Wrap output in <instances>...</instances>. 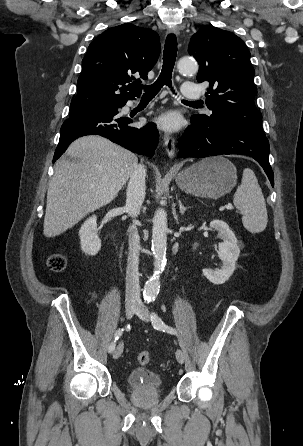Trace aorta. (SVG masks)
<instances>
[{
    "instance_id": "1",
    "label": "aorta",
    "mask_w": 303,
    "mask_h": 446,
    "mask_svg": "<svg viewBox=\"0 0 303 446\" xmlns=\"http://www.w3.org/2000/svg\"><path fill=\"white\" fill-rule=\"evenodd\" d=\"M177 67L182 74H195L198 71L197 63L185 58L179 60ZM167 230V214L163 210H157L152 228L154 274L144 286V296L150 300L155 299L160 290V274L166 265Z\"/></svg>"
}]
</instances>
